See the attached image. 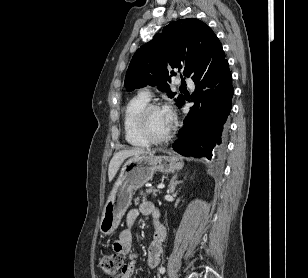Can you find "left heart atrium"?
Wrapping results in <instances>:
<instances>
[{"label": "left heart atrium", "mask_w": 308, "mask_h": 278, "mask_svg": "<svg viewBox=\"0 0 308 278\" xmlns=\"http://www.w3.org/2000/svg\"><path fill=\"white\" fill-rule=\"evenodd\" d=\"M162 111L167 124L169 125V127H171L175 120V113L173 108L171 106H165Z\"/></svg>", "instance_id": "1"}]
</instances>
